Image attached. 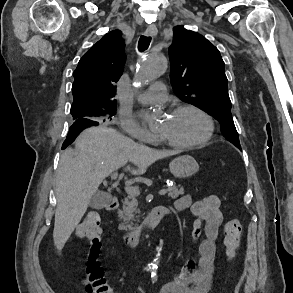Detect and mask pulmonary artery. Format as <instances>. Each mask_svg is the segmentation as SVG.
I'll use <instances>...</instances> for the list:
<instances>
[{"instance_id": "1", "label": "pulmonary artery", "mask_w": 293, "mask_h": 293, "mask_svg": "<svg viewBox=\"0 0 293 293\" xmlns=\"http://www.w3.org/2000/svg\"><path fill=\"white\" fill-rule=\"evenodd\" d=\"M167 97L166 87L163 82L153 83L149 89L138 96V100L143 103L158 104Z\"/></svg>"}]
</instances>
